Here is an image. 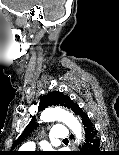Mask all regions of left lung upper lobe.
Segmentation results:
<instances>
[{
	"label": "left lung upper lobe",
	"mask_w": 119,
	"mask_h": 155,
	"mask_svg": "<svg viewBox=\"0 0 119 155\" xmlns=\"http://www.w3.org/2000/svg\"><path fill=\"white\" fill-rule=\"evenodd\" d=\"M60 105L64 106L68 109L74 111V108L77 104H75L70 97L63 95L61 92H51L48 95H44L38 105L39 111L45 109L48 106ZM36 127L35 118L26 126L25 130L21 134V136L14 142L13 146L19 143L25 136H27L34 128ZM15 155V154H12Z\"/></svg>",
	"instance_id": "obj_1"
}]
</instances>
